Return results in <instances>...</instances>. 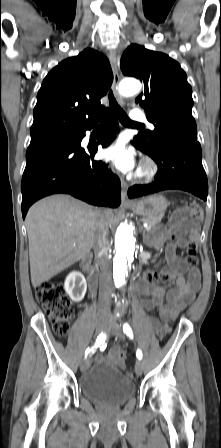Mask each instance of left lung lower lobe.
<instances>
[{
  "label": "left lung lower lobe",
  "instance_id": "left-lung-lower-lobe-1",
  "mask_svg": "<svg viewBox=\"0 0 221 448\" xmlns=\"http://www.w3.org/2000/svg\"><path fill=\"white\" fill-rule=\"evenodd\" d=\"M159 167L153 183L134 185L128 197L135 198L166 189H180L207 200L208 182L202 166L200 144L163 143L154 151H145Z\"/></svg>",
  "mask_w": 221,
  "mask_h": 448
}]
</instances>
